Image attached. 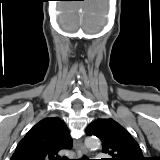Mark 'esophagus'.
Returning a JSON list of instances; mask_svg holds the SVG:
<instances>
[{"mask_svg":"<svg viewBox=\"0 0 160 160\" xmlns=\"http://www.w3.org/2000/svg\"><path fill=\"white\" fill-rule=\"evenodd\" d=\"M76 152L79 157H83L84 155L88 154V151L85 148V146L83 145L81 140H78L76 143Z\"/></svg>","mask_w":160,"mask_h":160,"instance_id":"obj_1","label":"esophagus"}]
</instances>
